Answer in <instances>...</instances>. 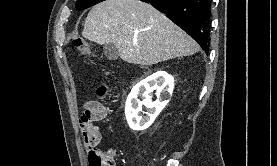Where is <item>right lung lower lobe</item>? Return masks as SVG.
I'll list each match as a JSON object with an SVG mask.
<instances>
[{
  "label": "right lung lower lobe",
  "instance_id": "98d812e1",
  "mask_svg": "<svg viewBox=\"0 0 277 166\" xmlns=\"http://www.w3.org/2000/svg\"><path fill=\"white\" fill-rule=\"evenodd\" d=\"M166 14L188 33L208 55L210 47V0H141Z\"/></svg>",
  "mask_w": 277,
  "mask_h": 166
}]
</instances>
